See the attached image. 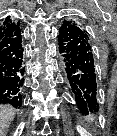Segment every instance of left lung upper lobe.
<instances>
[{"instance_id":"left-lung-upper-lobe-1","label":"left lung upper lobe","mask_w":117,"mask_h":136,"mask_svg":"<svg viewBox=\"0 0 117 136\" xmlns=\"http://www.w3.org/2000/svg\"><path fill=\"white\" fill-rule=\"evenodd\" d=\"M71 23H73V24H75V25H77V26H79V27H81L83 30H85V28L83 27V25L82 24H80V23H78V22H76V21H70ZM86 31V30H85ZM87 32V31H86Z\"/></svg>"}]
</instances>
